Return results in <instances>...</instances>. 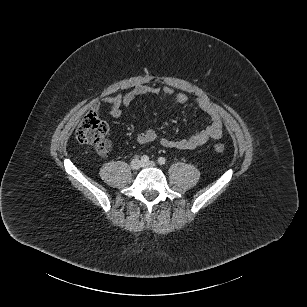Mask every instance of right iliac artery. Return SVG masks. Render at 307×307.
I'll return each instance as SVG.
<instances>
[{
	"instance_id": "1",
	"label": "right iliac artery",
	"mask_w": 307,
	"mask_h": 307,
	"mask_svg": "<svg viewBox=\"0 0 307 307\" xmlns=\"http://www.w3.org/2000/svg\"><path fill=\"white\" fill-rule=\"evenodd\" d=\"M141 161H142L143 163L149 162V157H148L147 155H143V156L141 157Z\"/></svg>"
}]
</instances>
